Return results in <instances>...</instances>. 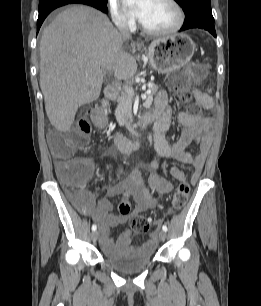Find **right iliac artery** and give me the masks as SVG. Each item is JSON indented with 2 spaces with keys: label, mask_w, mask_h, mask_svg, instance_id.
<instances>
[{
  "label": "right iliac artery",
  "mask_w": 261,
  "mask_h": 306,
  "mask_svg": "<svg viewBox=\"0 0 261 306\" xmlns=\"http://www.w3.org/2000/svg\"><path fill=\"white\" fill-rule=\"evenodd\" d=\"M97 229V226L94 224L92 225V231H95Z\"/></svg>",
  "instance_id": "right-iliac-artery-1"
}]
</instances>
